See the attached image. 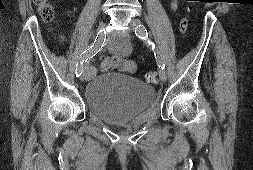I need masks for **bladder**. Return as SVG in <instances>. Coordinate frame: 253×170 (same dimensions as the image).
Returning <instances> with one entry per match:
<instances>
[{"instance_id": "31cf9c89", "label": "bladder", "mask_w": 253, "mask_h": 170, "mask_svg": "<svg viewBox=\"0 0 253 170\" xmlns=\"http://www.w3.org/2000/svg\"><path fill=\"white\" fill-rule=\"evenodd\" d=\"M156 91L140 79L117 72H105L91 79L84 88L88 109L112 125L127 124L155 104Z\"/></svg>"}]
</instances>
